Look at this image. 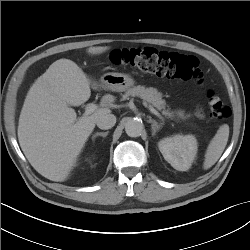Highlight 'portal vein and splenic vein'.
Listing matches in <instances>:
<instances>
[{
    "instance_id": "obj_1",
    "label": "portal vein and splenic vein",
    "mask_w": 250,
    "mask_h": 250,
    "mask_svg": "<svg viewBox=\"0 0 250 250\" xmlns=\"http://www.w3.org/2000/svg\"><path fill=\"white\" fill-rule=\"evenodd\" d=\"M144 105L146 107H148V109L150 110V112L158 117H161L160 113L153 108V106L151 105H147L146 103H144ZM98 106L96 104L90 103L85 107V115H89L92 114L93 112H95L97 110Z\"/></svg>"
}]
</instances>
